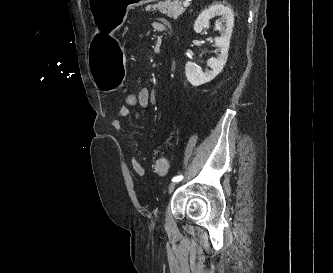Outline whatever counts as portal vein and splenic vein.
<instances>
[{
    "label": "portal vein and splenic vein",
    "instance_id": "obj_1",
    "mask_svg": "<svg viewBox=\"0 0 333 273\" xmlns=\"http://www.w3.org/2000/svg\"><path fill=\"white\" fill-rule=\"evenodd\" d=\"M190 1H191V0H185V1L183 2V6H184V7H188V6L190 5Z\"/></svg>",
    "mask_w": 333,
    "mask_h": 273
}]
</instances>
